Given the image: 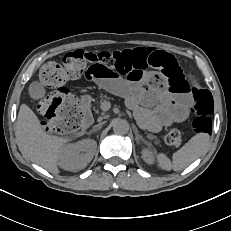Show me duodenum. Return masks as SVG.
Wrapping results in <instances>:
<instances>
[{
    "instance_id": "duodenum-1",
    "label": "duodenum",
    "mask_w": 231,
    "mask_h": 231,
    "mask_svg": "<svg viewBox=\"0 0 231 231\" xmlns=\"http://www.w3.org/2000/svg\"><path fill=\"white\" fill-rule=\"evenodd\" d=\"M81 116L84 126H89L92 123L91 106L88 102L82 103Z\"/></svg>"
}]
</instances>
